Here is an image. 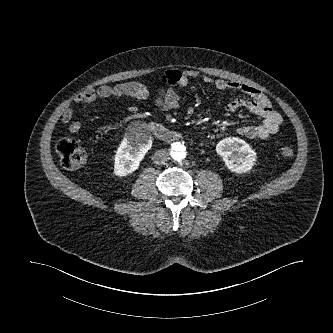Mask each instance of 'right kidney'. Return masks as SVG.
<instances>
[{
    "mask_svg": "<svg viewBox=\"0 0 333 333\" xmlns=\"http://www.w3.org/2000/svg\"><path fill=\"white\" fill-rule=\"evenodd\" d=\"M151 146L152 139L149 135L125 137L115 155L114 174L123 177L137 170Z\"/></svg>",
    "mask_w": 333,
    "mask_h": 333,
    "instance_id": "1",
    "label": "right kidney"
}]
</instances>
